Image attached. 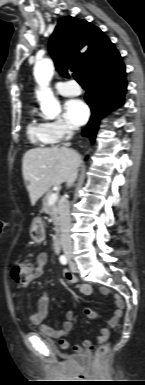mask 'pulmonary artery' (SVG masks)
Segmentation results:
<instances>
[{
	"label": "pulmonary artery",
	"instance_id": "1",
	"mask_svg": "<svg viewBox=\"0 0 145 385\" xmlns=\"http://www.w3.org/2000/svg\"><path fill=\"white\" fill-rule=\"evenodd\" d=\"M55 88L59 94L64 96H76L81 93L80 86L74 80L57 82Z\"/></svg>",
	"mask_w": 145,
	"mask_h": 385
}]
</instances>
